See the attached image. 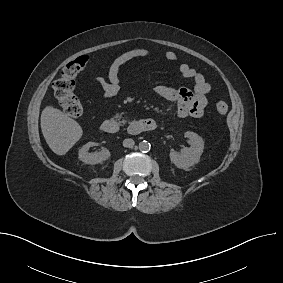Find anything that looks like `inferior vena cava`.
<instances>
[{
  "instance_id": "1",
  "label": "inferior vena cava",
  "mask_w": 283,
  "mask_h": 283,
  "mask_svg": "<svg viewBox=\"0 0 283 283\" xmlns=\"http://www.w3.org/2000/svg\"><path fill=\"white\" fill-rule=\"evenodd\" d=\"M134 144H135L134 140L130 139V138L125 139L123 141V146L126 147V148H132L134 146Z\"/></svg>"
}]
</instances>
